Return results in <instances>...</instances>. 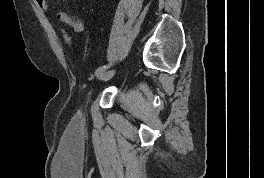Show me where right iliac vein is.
Listing matches in <instances>:
<instances>
[{
  "mask_svg": "<svg viewBox=\"0 0 264 178\" xmlns=\"http://www.w3.org/2000/svg\"><path fill=\"white\" fill-rule=\"evenodd\" d=\"M115 74V70H109V71H103L99 75H97V78L100 81H107L109 80L113 75Z\"/></svg>",
  "mask_w": 264,
  "mask_h": 178,
  "instance_id": "63e3f726",
  "label": "right iliac vein"
}]
</instances>
